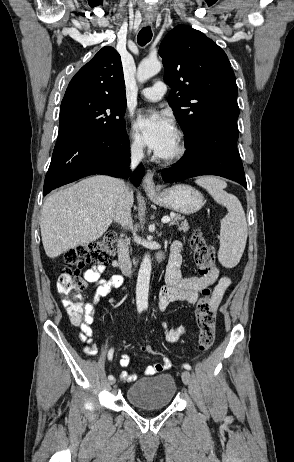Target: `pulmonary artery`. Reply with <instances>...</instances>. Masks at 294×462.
Here are the masks:
<instances>
[{
    "mask_svg": "<svg viewBox=\"0 0 294 462\" xmlns=\"http://www.w3.org/2000/svg\"><path fill=\"white\" fill-rule=\"evenodd\" d=\"M166 91V84L162 81H157L153 86L144 88L141 95L148 101H158L165 95Z\"/></svg>",
    "mask_w": 294,
    "mask_h": 462,
    "instance_id": "obj_1",
    "label": "pulmonary artery"
}]
</instances>
